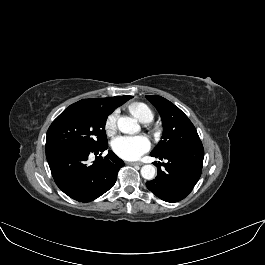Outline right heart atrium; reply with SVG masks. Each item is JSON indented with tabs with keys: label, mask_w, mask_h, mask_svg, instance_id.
I'll return each instance as SVG.
<instances>
[{
	"label": "right heart atrium",
	"mask_w": 265,
	"mask_h": 265,
	"mask_svg": "<svg viewBox=\"0 0 265 265\" xmlns=\"http://www.w3.org/2000/svg\"><path fill=\"white\" fill-rule=\"evenodd\" d=\"M116 119H117V112H111L105 119L104 129L107 135L111 136L116 131Z\"/></svg>",
	"instance_id": "obj_1"
}]
</instances>
